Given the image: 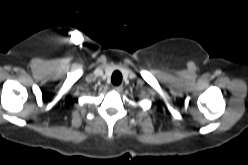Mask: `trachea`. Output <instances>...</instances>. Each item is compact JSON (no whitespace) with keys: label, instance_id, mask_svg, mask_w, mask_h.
<instances>
[{"label":"trachea","instance_id":"3493384b","mask_svg":"<svg viewBox=\"0 0 248 165\" xmlns=\"http://www.w3.org/2000/svg\"><path fill=\"white\" fill-rule=\"evenodd\" d=\"M111 81L114 85H119L122 82V74L119 71H115L112 74Z\"/></svg>","mask_w":248,"mask_h":165}]
</instances>
